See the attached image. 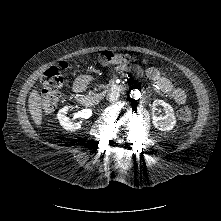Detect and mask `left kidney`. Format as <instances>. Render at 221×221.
I'll list each match as a JSON object with an SVG mask.
<instances>
[{"mask_svg":"<svg viewBox=\"0 0 221 221\" xmlns=\"http://www.w3.org/2000/svg\"><path fill=\"white\" fill-rule=\"evenodd\" d=\"M156 105H159L164 108L165 116L163 118L153 117V123L155 128L161 132H170L176 125L175 111L171 104L167 103L164 100H158ZM164 120V122H158V120Z\"/></svg>","mask_w":221,"mask_h":221,"instance_id":"left-kidney-1","label":"left kidney"}]
</instances>
